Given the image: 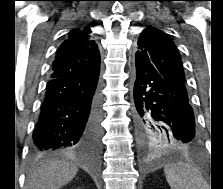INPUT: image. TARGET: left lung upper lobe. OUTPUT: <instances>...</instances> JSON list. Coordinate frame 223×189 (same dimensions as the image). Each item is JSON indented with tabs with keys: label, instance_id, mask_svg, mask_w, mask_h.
<instances>
[{
	"label": "left lung upper lobe",
	"instance_id": "obj_1",
	"mask_svg": "<svg viewBox=\"0 0 223 189\" xmlns=\"http://www.w3.org/2000/svg\"><path fill=\"white\" fill-rule=\"evenodd\" d=\"M135 60L154 68L172 87L189 101L185 87V76L178 49L161 30L145 29L139 40ZM143 144L158 148L190 149L180 147L173 138L159 127H146L139 132Z\"/></svg>",
	"mask_w": 223,
	"mask_h": 189
}]
</instances>
